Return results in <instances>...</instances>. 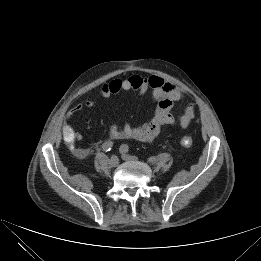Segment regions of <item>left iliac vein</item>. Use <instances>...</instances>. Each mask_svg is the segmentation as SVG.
I'll return each mask as SVG.
<instances>
[{
    "mask_svg": "<svg viewBox=\"0 0 261 261\" xmlns=\"http://www.w3.org/2000/svg\"><path fill=\"white\" fill-rule=\"evenodd\" d=\"M122 159L125 160V161L135 160L134 157H132V156H130V155L124 153V152L122 153Z\"/></svg>",
    "mask_w": 261,
    "mask_h": 261,
    "instance_id": "4c4485c4",
    "label": "left iliac vein"
}]
</instances>
